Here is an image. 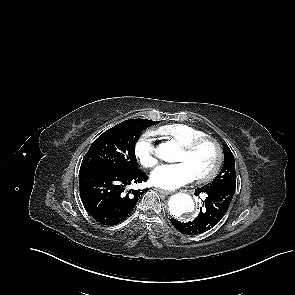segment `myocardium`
Returning <instances> with one entry per match:
<instances>
[{
    "instance_id": "1",
    "label": "myocardium",
    "mask_w": 295,
    "mask_h": 295,
    "mask_svg": "<svg viewBox=\"0 0 295 295\" xmlns=\"http://www.w3.org/2000/svg\"><path fill=\"white\" fill-rule=\"evenodd\" d=\"M205 143H211L216 150V162L213 166V168L206 174L197 176L196 179L199 182H208L212 180L220 171L222 163H223V150L221 147V144L213 137L210 136H204L200 137L198 139L193 140L192 142L182 146V150L185 151L187 154L194 153L201 145Z\"/></svg>"
}]
</instances>
